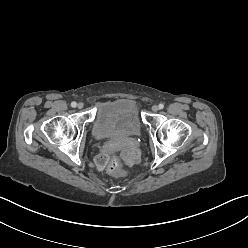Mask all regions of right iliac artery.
<instances>
[{"mask_svg": "<svg viewBox=\"0 0 248 248\" xmlns=\"http://www.w3.org/2000/svg\"><path fill=\"white\" fill-rule=\"evenodd\" d=\"M71 106H72L73 108H75V107L77 106V103H76V102H72V103H71Z\"/></svg>", "mask_w": 248, "mask_h": 248, "instance_id": "82829eb1", "label": "right iliac artery"}]
</instances>
